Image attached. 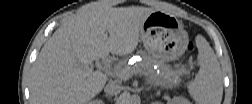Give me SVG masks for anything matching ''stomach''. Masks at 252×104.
Returning a JSON list of instances; mask_svg holds the SVG:
<instances>
[{"label":"stomach","instance_id":"stomach-1","mask_svg":"<svg viewBox=\"0 0 252 104\" xmlns=\"http://www.w3.org/2000/svg\"><path fill=\"white\" fill-rule=\"evenodd\" d=\"M140 39L152 57L171 61L185 52L188 34L174 15L157 10L144 22Z\"/></svg>","mask_w":252,"mask_h":104}]
</instances>
